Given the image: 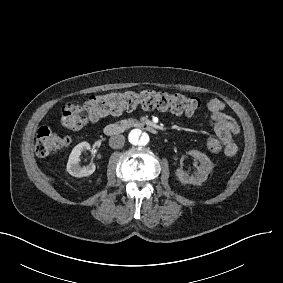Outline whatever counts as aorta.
Segmentation results:
<instances>
[{"label": "aorta", "instance_id": "aorta-1", "mask_svg": "<svg viewBox=\"0 0 283 283\" xmlns=\"http://www.w3.org/2000/svg\"><path fill=\"white\" fill-rule=\"evenodd\" d=\"M128 140L132 145L143 147L149 143L150 137L148 133L135 128L130 131Z\"/></svg>", "mask_w": 283, "mask_h": 283}]
</instances>
